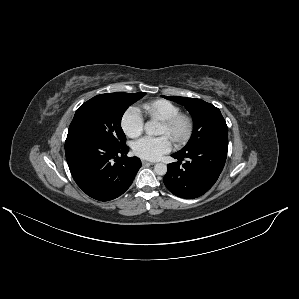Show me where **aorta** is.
Here are the masks:
<instances>
[{
	"label": "aorta",
	"mask_w": 299,
	"mask_h": 299,
	"mask_svg": "<svg viewBox=\"0 0 299 299\" xmlns=\"http://www.w3.org/2000/svg\"><path fill=\"white\" fill-rule=\"evenodd\" d=\"M144 130L148 135H159V126L156 122H147L144 126ZM154 171L157 175H165L167 173V165L164 163H157L154 165Z\"/></svg>",
	"instance_id": "762f6f07"
}]
</instances>
